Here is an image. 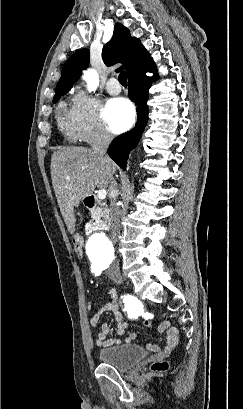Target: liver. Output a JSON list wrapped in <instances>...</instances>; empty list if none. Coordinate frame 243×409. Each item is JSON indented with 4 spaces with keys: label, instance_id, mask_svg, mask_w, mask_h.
I'll use <instances>...</instances> for the list:
<instances>
[{
    "label": "liver",
    "instance_id": "6515ba94",
    "mask_svg": "<svg viewBox=\"0 0 243 409\" xmlns=\"http://www.w3.org/2000/svg\"><path fill=\"white\" fill-rule=\"evenodd\" d=\"M116 171L115 163L86 147H63L51 157L52 185L70 234L75 231L74 207L95 188L106 189Z\"/></svg>",
    "mask_w": 243,
    "mask_h": 409
}]
</instances>
